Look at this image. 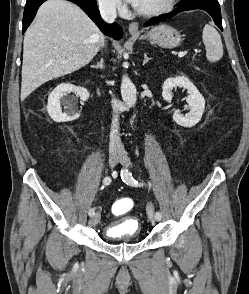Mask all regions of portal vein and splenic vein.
Instances as JSON below:
<instances>
[{
  "label": "portal vein and splenic vein",
  "mask_w": 249,
  "mask_h": 294,
  "mask_svg": "<svg viewBox=\"0 0 249 294\" xmlns=\"http://www.w3.org/2000/svg\"><path fill=\"white\" fill-rule=\"evenodd\" d=\"M187 55V52L186 51H184V52H179L178 53V57H184V56H186Z\"/></svg>",
  "instance_id": "1"
}]
</instances>
